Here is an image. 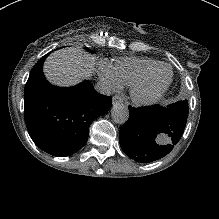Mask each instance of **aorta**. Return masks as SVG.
Returning a JSON list of instances; mask_svg holds the SVG:
<instances>
[{
  "mask_svg": "<svg viewBox=\"0 0 219 219\" xmlns=\"http://www.w3.org/2000/svg\"><path fill=\"white\" fill-rule=\"evenodd\" d=\"M111 118L118 124H123L129 119V109L123 103H115L111 108Z\"/></svg>",
  "mask_w": 219,
  "mask_h": 219,
  "instance_id": "aorta-1",
  "label": "aorta"
}]
</instances>
